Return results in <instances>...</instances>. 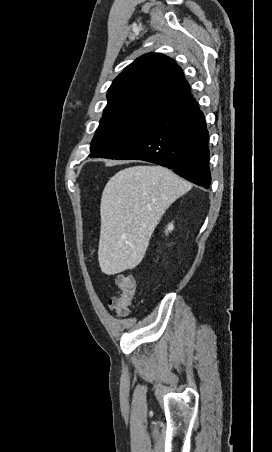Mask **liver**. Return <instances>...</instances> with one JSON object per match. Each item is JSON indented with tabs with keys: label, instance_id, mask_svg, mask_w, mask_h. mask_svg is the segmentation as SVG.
<instances>
[{
	"label": "liver",
	"instance_id": "6515ba94",
	"mask_svg": "<svg viewBox=\"0 0 272 452\" xmlns=\"http://www.w3.org/2000/svg\"><path fill=\"white\" fill-rule=\"evenodd\" d=\"M191 187L161 166H133L111 177L100 204L101 271L115 275L138 266L165 211Z\"/></svg>",
	"mask_w": 272,
	"mask_h": 452
}]
</instances>
